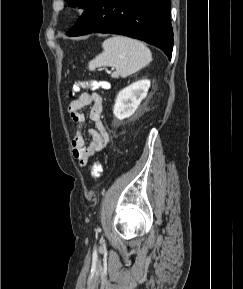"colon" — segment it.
Listing matches in <instances>:
<instances>
[{"instance_id":"colon-1","label":"colon","mask_w":243,"mask_h":289,"mask_svg":"<svg viewBox=\"0 0 243 289\" xmlns=\"http://www.w3.org/2000/svg\"><path fill=\"white\" fill-rule=\"evenodd\" d=\"M102 87V83L94 80H80L75 82L72 90L70 91V96L78 92L81 88H91L96 89ZM102 172V166L100 162H95L91 168V177L97 179L100 177Z\"/></svg>"}]
</instances>
